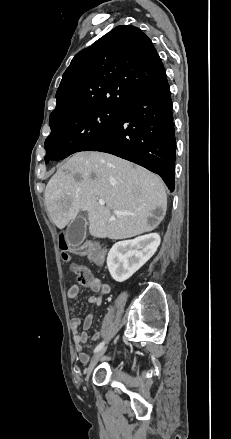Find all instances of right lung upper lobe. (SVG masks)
Returning a JSON list of instances; mask_svg holds the SVG:
<instances>
[{
  "mask_svg": "<svg viewBox=\"0 0 231 439\" xmlns=\"http://www.w3.org/2000/svg\"><path fill=\"white\" fill-rule=\"evenodd\" d=\"M166 83L150 38L135 26H117L72 59L50 120L89 108L122 111L134 98Z\"/></svg>",
  "mask_w": 231,
  "mask_h": 439,
  "instance_id": "right-lung-upper-lobe-1",
  "label": "right lung upper lobe"
}]
</instances>
